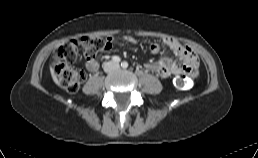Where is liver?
<instances>
[{"label":"liver","mask_w":258,"mask_h":158,"mask_svg":"<svg viewBox=\"0 0 258 158\" xmlns=\"http://www.w3.org/2000/svg\"><path fill=\"white\" fill-rule=\"evenodd\" d=\"M50 71H51V75H52L53 81H54L57 85H59V81H58V79H57V77H56V75H55V73H54V70H53L52 68H50Z\"/></svg>","instance_id":"1"}]
</instances>
